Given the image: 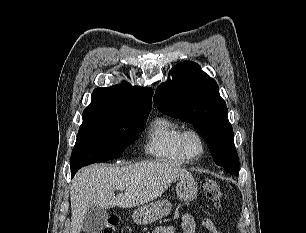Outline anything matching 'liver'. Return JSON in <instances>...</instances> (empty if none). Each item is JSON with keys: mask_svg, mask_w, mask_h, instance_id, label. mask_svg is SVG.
I'll use <instances>...</instances> for the list:
<instances>
[{"mask_svg": "<svg viewBox=\"0 0 306 233\" xmlns=\"http://www.w3.org/2000/svg\"><path fill=\"white\" fill-rule=\"evenodd\" d=\"M191 177L188 171L159 160L123 167L104 164L84 167L75 175L70 189V233L81 232L84 214L90 207L143 205L161 196L175 180ZM120 186L125 187L124 192L115 196L114 190Z\"/></svg>", "mask_w": 306, "mask_h": 233, "instance_id": "liver-1", "label": "liver"}]
</instances>
